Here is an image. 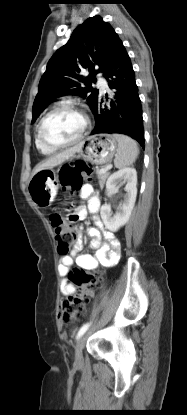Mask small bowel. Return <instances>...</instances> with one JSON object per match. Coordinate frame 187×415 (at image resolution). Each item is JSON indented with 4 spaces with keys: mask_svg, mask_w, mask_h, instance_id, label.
<instances>
[{
    "mask_svg": "<svg viewBox=\"0 0 187 415\" xmlns=\"http://www.w3.org/2000/svg\"><path fill=\"white\" fill-rule=\"evenodd\" d=\"M82 199H88V211L92 215L95 226L87 230L91 238L90 247L95 250L94 255L81 254L84 246V236L81 229L76 231V240L71 251L60 259L59 274L63 280L61 293L63 296H71L75 293V287L69 280V270L73 263H76L85 270H95L99 264L112 266L119 258L121 244L113 233L104 229L98 215L100 209V198L98 193L90 184H85L79 191ZM87 214V208L78 206L75 209L74 220H82Z\"/></svg>",
    "mask_w": 187,
    "mask_h": 415,
    "instance_id": "1",
    "label": "small bowel"
}]
</instances>
